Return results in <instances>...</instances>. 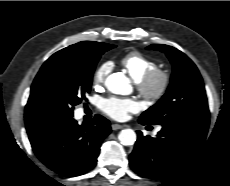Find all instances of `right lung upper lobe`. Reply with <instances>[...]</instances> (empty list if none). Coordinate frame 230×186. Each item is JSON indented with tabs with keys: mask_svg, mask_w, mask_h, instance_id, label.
Here are the masks:
<instances>
[{
	"mask_svg": "<svg viewBox=\"0 0 230 186\" xmlns=\"http://www.w3.org/2000/svg\"><path fill=\"white\" fill-rule=\"evenodd\" d=\"M93 43H96V42L83 41V42H79L77 44L71 45V46L64 48L62 50L83 52V51H86L88 48H91L93 46ZM44 118L45 117L39 111V108H38V106L34 100L32 92H31L30 97L28 99V103L25 107V123H26V125H28L31 123L38 122Z\"/></svg>",
	"mask_w": 230,
	"mask_h": 186,
	"instance_id": "cb5924a9",
	"label": "right lung upper lobe"
}]
</instances>
